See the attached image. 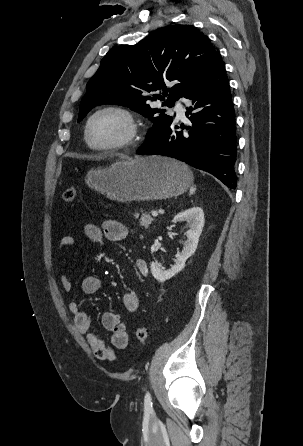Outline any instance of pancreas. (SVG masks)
Segmentation results:
<instances>
[{
  "label": "pancreas",
  "instance_id": "1",
  "mask_svg": "<svg viewBox=\"0 0 303 446\" xmlns=\"http://www.w3.org/2000/svg\"><path fill=\"white\" fill-rule=\"evenodd\" d=\"M153 218L150 216L149 213L142 212V215L140 217V224L144 228H148L150 224H152Z\"/></svg>",
  "mask_w": 303,
  "mask_h": 446
}]
</instances>
